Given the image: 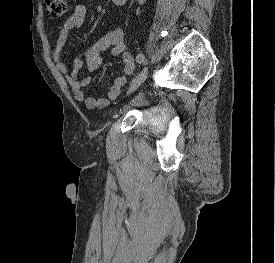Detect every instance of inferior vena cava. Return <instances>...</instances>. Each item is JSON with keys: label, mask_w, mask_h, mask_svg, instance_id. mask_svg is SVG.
<instances>
[{"label": "inferior vena cava", "mask_w": 275, "mask_h": 263, "mask_svg": "<svg viewBox=\"0 0 275 263\" xmlns=\"http://www.w3.org/2000/svg\"><path fill=\"white\" fill-rule=\"evenodd\" d=\"M140 4H143L145 0H138Z\"/></svg>", "instance_id": "1"}]
</instances>
